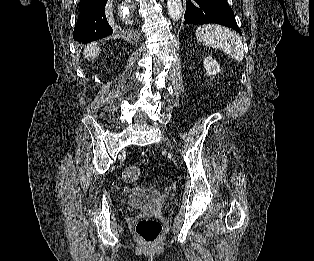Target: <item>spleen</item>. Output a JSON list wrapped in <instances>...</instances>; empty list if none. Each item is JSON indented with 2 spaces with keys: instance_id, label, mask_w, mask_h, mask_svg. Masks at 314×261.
Returning <instances> with one entry per match:
<instances>
[{
  "instance_id": "obj_1",
  "label": "spleen",
  "mask_w": 314,
  "mask_h": 261,
  "mask_svg": "<svg viewBox=\"0 0 314 261\" xmlns=\"http://www.w3.org/2000/svg\"><path fill=\"white\" fill-rule=\"evenodd\" d=\"M195 35L203 45L222 50L238 62L244 58L240 37L226 27L215 24L202 25L196 29Z\"/></svg>"
}]
</instances>
